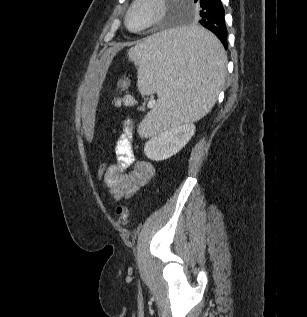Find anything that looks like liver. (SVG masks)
Returning a JSON list of instances; mask_svg holds the SVG:
<instances>
[{"label": "liver", "instance_id": "liver-1", "mask_svg": "<svg viewBox=\"0 0 307 317\" xmlns=\"http://www.w3.org/2000/svg\"><path fill=\"white\" fill-rule=\"evenodd\" d=\"M120 47L116 45L114 48H106L102 55H98L97 63H94V70L88 75L87 82L84 86L83 100L78 101V108H82L80 118L82 119L81 126L83 128V141L95 142L94 135L95 124V108L99 100L100 89H103L105 78L109 73L112 62L115 61L116 55L119 53Z\"/></svg>", "mask_w": 307, "mask_h": 317}]
</instances>
